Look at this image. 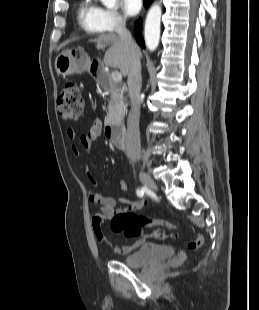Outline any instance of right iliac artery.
<instances>
[{"instance_id": "1", "label": "right iliac artery", "mask_w": 259, "mask_h": 310, "mask_svg": "<svg viewBox=\"0 0 259 310\" xmlns=\"http://www.w3.org/2000/svg\"><path fill=\"white\" fill-rule=\"evenodd\" d=\"M145 190H146V189H144V188H138L137 191H136V193H137V195H138L139 197H143Z\"/></svg>"}]
</instances>
